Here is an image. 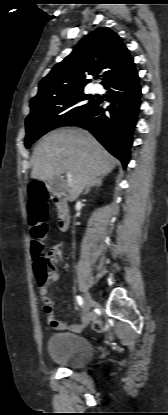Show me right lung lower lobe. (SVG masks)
<instances>
[{"label": "right lung lower lobe", "mask_w": 168, "mask_h": 415, "mask_svg": "<svg viewBox=\"0 0 168 415\" xmlns=\"http://www.w3.org/2000/svg\"><path fill=\"white\" fill-rule=\"evenodd\" d=\"M108 89L110 106L103 109L98 98L93 107L67 126L87 129L116 158L124 168L130 159L132 132L140 108L141 88L135 64L104 84Z\"/></svg>", "instance_id": "1"}]
</instances>
